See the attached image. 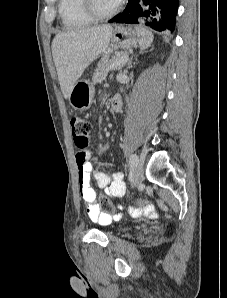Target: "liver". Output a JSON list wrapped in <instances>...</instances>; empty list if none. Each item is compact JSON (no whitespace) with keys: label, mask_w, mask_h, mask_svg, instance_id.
<instances>
[{"label":"liver","mask_w":227,"mask_h":298,"mask_svg":"<svg viewBox=\"0 0 227 298\" xmlns=\"http://www.w3.org/2000/svg\"><path fill=\"white\" fill-rule=\"evenodd\" d=\"M112 33V26L102 25L70 29L55 36L52 55L65 99L84 70L108 48Z\"/></svg>","instance_id":"obj_1"}]
</instances>
